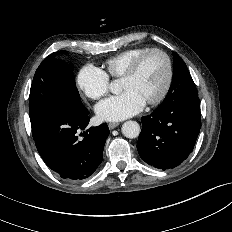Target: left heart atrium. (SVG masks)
<instances>
[{
    "label": "left heart atrium",
    "mask_w": 232,
    "mask_h": 232,
    "mask_svg": "<svg viewBox=\"0 0 232 232\" xmlns=\"http://www.w3.org/2000/svg\"><path fill=\"white\" fill-rule=\"evenodd\" d=\"M145 103L136 93L126 90L97 104L96 113L103 121H120L139 113Z\"/></svg>",
    "instance_id": "1"
}]
</instances>
